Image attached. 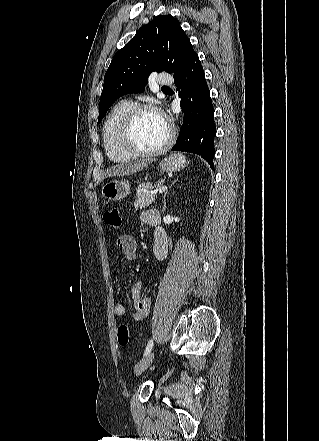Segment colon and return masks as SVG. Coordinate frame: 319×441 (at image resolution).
Wrapping results in <instances>:
<instances>
[{"mask_svg":"<svg viewBox=\"0 0 319 441\" xmlns=\"http://www.w3.org/2000/svg\"><path fill=\"white\" fill-rule=\"evenodd\" d=\"M103 221L106 225L114 230L122 227V217L120 209L116 206L107 208L103 214ZM117 339L121 346H126L129 342V332L125 325H120L117 329Z\"/></svg>","mask_w":319,"mask_h":441,"instance_id":"colon-1","label":"colon"}]
</instances>
